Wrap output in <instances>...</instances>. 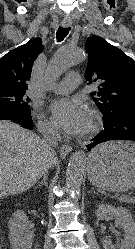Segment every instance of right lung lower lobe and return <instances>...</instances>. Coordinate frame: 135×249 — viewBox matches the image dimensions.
Segmentation results:
<instances>
[{
  "instance_id": "right-lung-lower-lobe-1",
  "label": "right lung lower lobe",
  "mask_w": 135,
  "mask_h": 249,
  "mask_svg": "<svg viewBox=\"0 0 135 249\" xmlns=\"http://www.w3.org/2000/svg\"><path fill=\"white\" fill-rule=\"evenodd\" d=\"M0 119L11 120L22 125L24 128L33 129V121L30 118V113L11 105L0 104Z\"/></svg>"
}]
</instances>
